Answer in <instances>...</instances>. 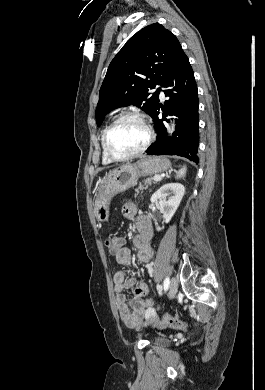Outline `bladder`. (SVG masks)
<instances>
[{"label":"bladder","instance_id":"bladder-1","mask_svg":"<svg viewBox=\"0 0 265 390\" xmlns=\"http://www.w3.org/2000/svg\"><path fill=\"white\" fill-rule=\"evenodd\" d=\"M168 340L163 337L156 338L154 344L157 346H166L168 344Z\"/></svg>","mask_w":265,"mask_h":390}]
</instances>
